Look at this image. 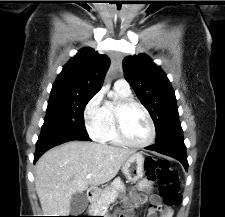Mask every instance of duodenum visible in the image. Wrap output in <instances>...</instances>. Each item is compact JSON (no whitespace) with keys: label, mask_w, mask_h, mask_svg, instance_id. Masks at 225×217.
<instances>
[{"label":"duodenum","mask_w":225,"mask_h":217,"mask_svg":"<svg viewBox=\"0 0 225 217\" xmlns=\"http://www.w3.org/2000/svg\"><path fill=\"white\" fill-rule=\"evenodd\" d=\"M87 198L89 201H93L95 198V191L94 190H88L87 191Z\"/></svg>","instance_id":"1"}]
</instances>
